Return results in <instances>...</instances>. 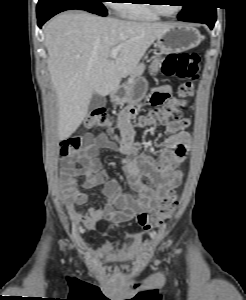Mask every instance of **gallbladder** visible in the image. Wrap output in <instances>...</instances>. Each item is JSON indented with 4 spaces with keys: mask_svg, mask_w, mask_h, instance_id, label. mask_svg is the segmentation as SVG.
<instances>
[{
    "mask_svg": "<svg viewBox=\"0 0 246 300\" xmlns=\"http://www.w3.org/2000/svg\"><path fill=\"white\" fill-rule=\"evenodd\" d=\"M106 105V99L105 97L99 95V94H96L94 93L90 99V102H89V110L90 111H93L95 109H99V108H102Z\"/></svg>",
    "mask_w": 246,
    "mask_h": 300,
    "instance_id": "bac80fb5",
    "label": "gallbladder"
}]
</instances>
